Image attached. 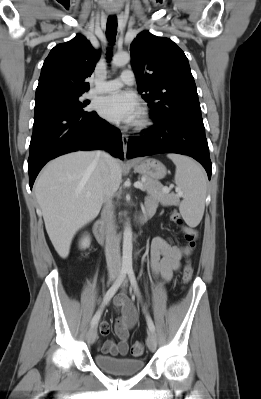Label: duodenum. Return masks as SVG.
<instances>
[{
  "label": "duodenum",
  "instance_id": "1",
  "mask_svg": "<svg viewBox=\"0 0 261 399\" xmlns=\"http://www.w3.org/2000/svg\"><path fill=\"white\" fill-rule=\"evenodd\" d=\"M153 212H154L153 210L145 209L144 212H142L139 215L138 219H137L138 224H142L143 222H145L148 218L151 217ZM93 232H94V235H95L98 243L101 244V245L105 244V241H106V227H105L104 221H102V220L97 221L94 224Z\"/></svg>",
  "mask_w": 261,
  "mask_h": 399
}]
</instances>
